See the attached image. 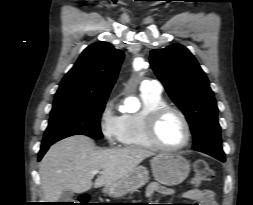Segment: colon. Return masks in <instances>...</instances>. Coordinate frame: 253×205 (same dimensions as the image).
Masks as SVG:
<instances>
[{"instance_id": "1", "label": "colon", "mask_w": 253, "mask_h": 205, "mask_svg": "<svg viewBox=\"0 0 253 205\" xmlns=\"http://www.w3.org/2000/svg\"><path fill=\"white\" fill-rule=\"evenodd\" d=\"M214 177V173L209 164L205 160H197L193 166L192 184L201 186ZM89 198L87 196H79L74 199L69 205H88Z\"/></svg>"}]
</instances>
